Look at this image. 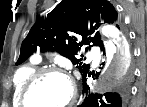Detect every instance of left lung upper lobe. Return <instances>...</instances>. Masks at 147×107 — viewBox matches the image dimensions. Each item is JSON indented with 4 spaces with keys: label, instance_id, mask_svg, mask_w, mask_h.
Returning a JSON list of instances; mask_svg holds the SVG:
<instances>
[{
    "label": "left lung upper lobe",
    "instance_id": "1",
    "mask_svg": "<svg viewBox=\"0 0 147 107\" xmlns=\"http://www.w3.org/2000/svg\"><path fill=\"white\" fill-rule=\"evenodd\" d=\"M119 21L114 6L107 0H62L47 17H37L21 45L16 65L21 64L34 52H58L77 65L82 77L90 69L75 55L82 45L104 48L96 29L101 22ZM118 27V26H117ZM93 35V36H92ZM81 40V41H80Z\"/></svg>",
    "mask_w": 147,
    "mask_h": 107
}]
</instances>
